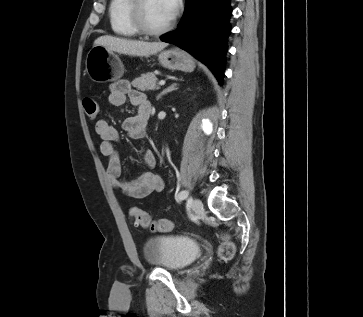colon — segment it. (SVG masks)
Here are the masks:
<instances>
[{
    "label": "colon",
    "mask_w": 363,
    "mask_h": 317,
    "mask_svg": "<svg viewBox=\"0 0 363 317\" xmlns=\"http://www.w3.org/2000/svg\"><path fill=\"white\" fill-rule=\"evenodd\" d=\"M83 108L86 116L95 120L98 115V103L95 99L87 97L83 100ZM134 223L153 232H168L173 229V222L169 219H152L148 213L137 207H132L129 211ZM235 253V246L228 236L224 235L218 248V255L223 260H230Z\"/></svg>",
    "instance_id": "1"
}]
</instances>
